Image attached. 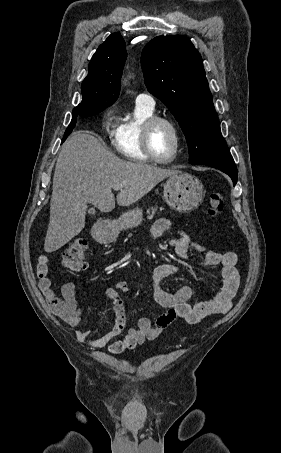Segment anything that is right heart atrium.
Returning a JSON list of instances; mask_svg holds the SVG:
<instances>
[{
    "label": "right heart atrium",
    "instance_id": "d8ad5b80",
    "mask_svg": "<svg viewBox=\"0 0 281 453\" xmlns=\"http://www.w3.org/2000/svg\"><path fill=\"white\" fill-rule=\"evenodd\" d=\"M115 106L108 107L101 118V129L108 137H113L116 134L117 124L115 122ZM104 156H107L106 153Z\"/></svg>",
    "mask_w": 281,
    "mask_h": 453
}]
</instances>
